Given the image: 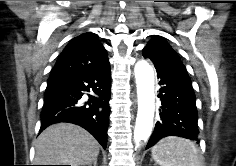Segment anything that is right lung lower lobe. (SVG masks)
<instances>
[{
    "label": "right lung lower lobe",
    "instance_id": "1",
    "mask_svg": "<svg viewBox=\"0 0 236 166\" xmlns=\"http://www.w3.org/2000/svg\"><path fill=\"white\" fill-rule=\"evenodd\" d=\"M110 90V63L93 72L51 75L44 94L40 132L55 123H74L106 148ZM90 91L99 97L89 95L90 100L84 103L82 97Z\"/></svg>",
    "mask_w": 236,
    "mask_h": 166
}]
</instances>
